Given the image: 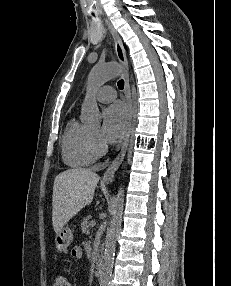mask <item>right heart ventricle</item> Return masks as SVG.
I'll return each instance as SVG.
<instances>
[{"label":"right heart ventricle","mask_w":231,"mask_h":286,"mask_svg":"<svg viewBox=\"0 0 231 286\" xmlns=\"http://www.w3.org/2000/svg\"><path fill=\"white\" fill-rule=\"evenodd\" d=\"M87 133L76 118L67 123L61 139L62 159L67 166L82 168L94 162L96 157L89 150Z\"/></svg>","instance_id":"obj_1"}]
</instances>
